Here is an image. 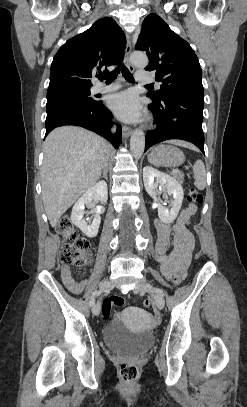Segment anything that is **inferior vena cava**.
Returning a JSON list of instances; mask_svg holds the SVG:
<instances>
[{"label":"inferior vena cava","mask_w":247,"mask_h":407,"mask_svg":"<svg viewBox=\"0 0 247 407\" xmlns=\"http://www.w3.org/2000/svg\"><path fill=\"white\" fill-rule=\"evenodd\" d=\"M105 167H107V159L105 160V163H104V168Z\"/></svg>","instance_id":"obj_1"}]
</instances>
